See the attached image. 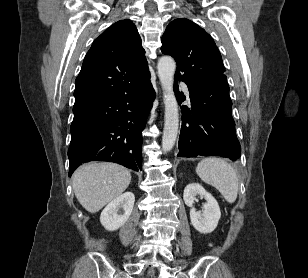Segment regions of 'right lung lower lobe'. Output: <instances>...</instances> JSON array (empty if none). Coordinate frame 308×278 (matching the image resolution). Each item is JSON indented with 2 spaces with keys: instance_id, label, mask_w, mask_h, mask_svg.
Instances as JSON below:
<instances>
[{
  "instance_id": "right-lung-lower-lobe-1",
  "label": "right lung lower lobe",
  "mask_w": 308,
  "mask_h": 278,
  "mask_svg": "<svg viewBox=\"0 0 308 278\" xmlns=\"http://www.w3.org/2000/svg\"><path fill=\"white\" fill-rule=\"evenodd\" d=\"M154 98L148 76L125 94L73 108L69 176L79 164L96 160L142 169L141 132Z\"/></svg>"
}]
</instances>
